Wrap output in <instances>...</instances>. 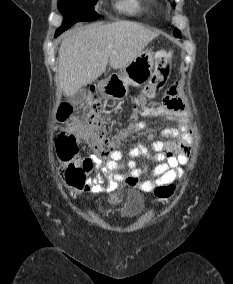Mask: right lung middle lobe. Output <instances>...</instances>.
<instances>
[{
  "instance_id": "obj_1",
  "label": "right lung middle lobe",
  "mask_w": 233,
  "mask_h": 284,
  "mask_svg": "<svg viewBox=\"0 0 233 284\" xmlns=\"http://www.w3.org/2000/svg\"><path fill=\"white\" fill-rule=\"evenodd\" d=\"M96 2L97 0H59L58 8L64 20L62 26L57 29L55 37L77 22L98 19L100 15L93 8Z\"/></svg>"
}]
</instances>
